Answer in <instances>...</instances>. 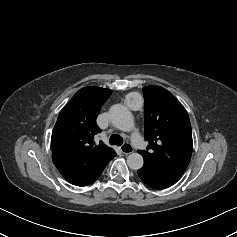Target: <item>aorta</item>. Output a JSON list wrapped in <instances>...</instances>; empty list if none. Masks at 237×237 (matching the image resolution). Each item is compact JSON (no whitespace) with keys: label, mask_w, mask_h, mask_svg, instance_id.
I'll list each match as a JSON object with an SVG mask.
<instances>
[{"label":"aorta","mask_w":237,"mask_h":237,"mask_svg":"<svg viewBox=\"0 0 237 237\" xmlns=\"http://www.w3.org/2000/svg\"><path fill=\"white\" fill-rule=\"evenodd\" d=\"M110 119L112 124L121 131H130L134 127L131 112L122 104H115L110 108ZM144 160L141 154L131 153L127 157V165L132 170L141 169Z\"/></svg>","instance_id":"obj_1"}]
</instances>
